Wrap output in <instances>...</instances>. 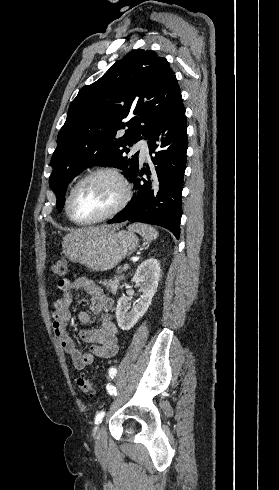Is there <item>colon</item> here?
<instances>
[{
  "instance_id": "colon-1",
  "label": "colon",
  "mask_w": 279,
  "mask_h": 490,
  "mask_svg": "<svg viewBox=\"0 0 279 490\" xmlns=\"http://www.w3.org/2000/svg\"><path fill=\"white\" fill-rule=\"evenodd\" d=\"M68 263L66 259H58L52 262L51 270L52 272L60 277H63L67 273ZM76 385L79 392L85 396L91 397L94 393L93 382L85 377L79 376L76 378Z\"/></svg>"
}]
</instances>
